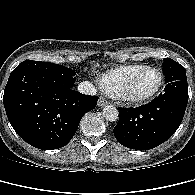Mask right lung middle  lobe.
I'll return each instance as SVG.
<instances>
[{"instance_id":"1","label":"right lung middle lobe","mask_w":195,"mask_h":195,"mask_svg":"<svg viewBox=\"0 0 195 195\" xmlns=\"http://www.w3.org/2000/svg\"><path fill=\"white\" fill-rule=\"evenodd\" d=\"M17 68H31L45 72L55 79L56 86L60 89L71 88L75 82V71L59 64L25 60Z\"/></svg>"}]
</instances>
